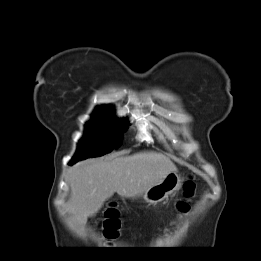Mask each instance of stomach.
I'll return each mask as SVG.
<instances>
[{
    "mask_svg": "<svg viewBox=\"0 0 261 261\" xmlns=\"http://www.w3.org/2000/svg\"><path fill=\"white\" fill-rule=\"evenodd\" d=\"M181 179L177 171L169 173L162 182L149 188L143 195L144 200L156 204L165 200L180 187Z\"/></svg>",
    "mask_w": 261,
    "mask_h": 261,
    "instance_id": "1",
    "label": "stomach"
}]
</instances>
